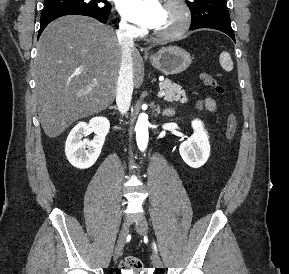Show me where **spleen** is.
<instances>
[{
    "label": "spleen",
    "mask_w": 289,
    "mask_h": 274,
    "mask_svg": "<svg viewBox=\"0 0 289 274\" xmlns=\"http://www.w3.org/2000/svg\"><path fill=\"white\" fill-rule=\"evenodd\" d=\"M219 61L224 70L229 72L233 69V62L229 53L227 52L221 53Z\"/></svg>",
    "instance_id": "spleen-1"
}]
</instances>
